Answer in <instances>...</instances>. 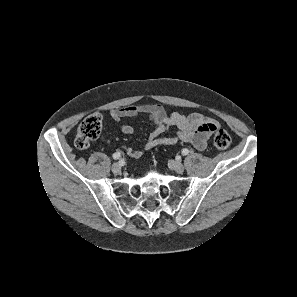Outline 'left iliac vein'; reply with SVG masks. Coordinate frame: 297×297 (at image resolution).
<instances>
[{
	"label": "left iliac vein",
	"mask_w": 297,
	"mask_h": 297,
	"mask_svg": "<svg viewBox=\"0 0 297 297\" xmlns=\"http://www.w3.org/2000/svg\"><path fill=\"white\" fill-rule=\"evenodd\" d=\"M170 166L177 173H182L184 171V166L180 162L174 160L170 161Z\"/></svg>",
	"instance_id": "obj_1"
}]
</instances>
